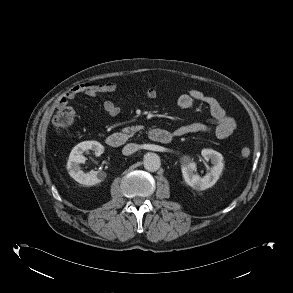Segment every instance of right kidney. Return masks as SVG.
<instances>
[{
	"label": "right kidney",
	"instance_id": "right-kidney-1",
	"mask_svg": "<svg viewBox=\"0 0 293 293\" xmlns=\"http://www.w3.org/2000/svg\"><path fill=\"white\" fill-rule=\"evenodd\" d=\"M87 150H92L96 156H100L104 152V147L97 141H84L77 144L69 155L67 170L69 175L78 183L93 186L102 182L106 178V173L93 170L85 173L81 170L80 164L86 161L82 154Z\"/></svg>",
	"mask_w": 293,
	"mask_h": 293
}]
</instances>
